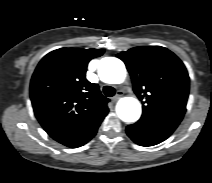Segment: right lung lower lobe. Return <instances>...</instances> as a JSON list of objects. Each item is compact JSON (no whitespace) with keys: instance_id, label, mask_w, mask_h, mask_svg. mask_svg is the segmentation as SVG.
Returning a JSON list of instances; mask_svg holds the SVG:
<instances>
[{"instance_id":"98d812e1","label":"right lung lower lobe","mask_w":212,"mask_h":183,"mask_svg":"<svg viewBox=\"0 0 212 183\" xmlns=\"http://www.w3.org/2000/svg\"><path fill=\"white\" fill-rule=\"evenodd\" d=\"M95 134H96V132H95L93 135H91L89 138H87L84 142L79 143V144H77V145H74V146H72V148H76V147H80V146L84 145V144L87 143Z\"/></svg>"}]
</instances>
